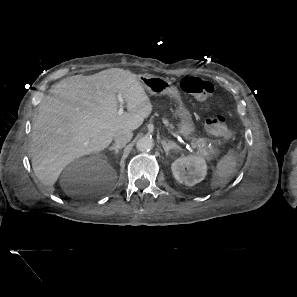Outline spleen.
I'll return each instance as SVG.
<instances>
[{"label": "spleen", "mask_w": 297, "mask_h": 297, "mask_svg": "<svg viewBox=\"0 0 297 297\" xmlns=\"http://www.w3.org/2000/svg\"><path fill=\"white\" fill-rule=\"evenodd\" d=\"M236 170V159L232 155H225L221 158L217 165L216 169L213 172L210 186L212 189L217 186L226 184L230 177L234 174Z\"/></svg>", "instance_id": "obj_1"}]
</instances>
